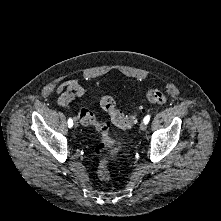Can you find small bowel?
Instances as JSON below:
<instances>
[{"label": "small bowel", "instance_id": "small-bowel-1", "mask_svg": "<svg viewBox=\"0 0 221 221\" xmlns=\"http://www.w3.org/2000/svg\"><path fill=\"white\" fill-rule=\"evenodd\" d=\"M57 93L59 94L58 103L64 106L74 98L83 96L85 89L79 80L68 79L58 86Z\"/></svg>", "mask_w": 221, "mask_h": 221}]
</instances>
